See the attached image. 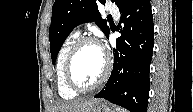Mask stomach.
I'll return each instance as SVG.
<instances>
[{
	"mask_svg": "<svg viewBox=\"0 0 193 112\" xmlns=\"http://www.w3.org/2000/svg\"><path fill=\"white\" fill-rule=\"evenodd\" d=\"M87 112H114V110L99 100Z\"/></svg>",
	"mask_w": 193,
	"mask_h": 112,
	"instance_id": "obj_1",
	"label": "stomach"
}]
</instances>
